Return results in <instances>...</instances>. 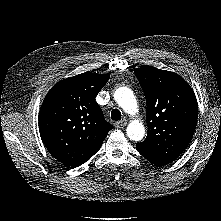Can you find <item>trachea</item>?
Returning <instances> with one entry per match:
<instances>
[{
    "label": "trachea",
    "instance_id": "1",
    "mask_svg": "<svg viewBox=\"0 0 221 221\" xmlns=\"http://www.w3.org/2000/svg\"><path fill=\"white\" fill-rule=\"evenodd\" d=\"M111 119L114 121L121 120V112L118 109H113L111 111Z\"/></svg>",
    "mask_w": 221,
    "mask_h": 221
}]
</instances>
